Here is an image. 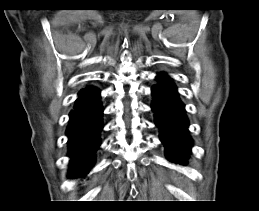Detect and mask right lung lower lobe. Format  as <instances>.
I'll return each instance as SVG.
<instances>
[{
    "label": "right lung lower lobe",
    "mask_w": 259,
    "mask_h": 211,
    "mask_svg": "<svg viewBox=\"0 0 259 211\" xmlns=\"http://www.w3.org/2000/svg\"><path fill=\"white\" fill-rule=\"evenodd\" d=\"M99 94L93 87L83 89L70 113L66 134L71 158L69 172L74 177L86 175L94 165L102 129L103 109Z\"/></svg>",
    "instance_id": "right-lung-lower-lobe-1"
}]
</instances>
